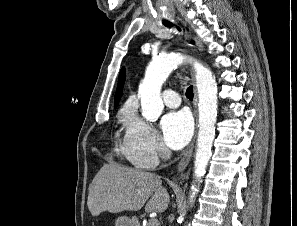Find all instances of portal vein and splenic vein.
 Returning <instances> with one entry per match:
<instances>
[{"instance_id": "1", "label": "portal vein and splenic vein", "mask_w": 297, "mask_h": 226, "mask_svg": "<svg viewBox=\"0 0 297 226\" xmlns=\"http://www.w3.org/2000/svg\"><path fill=\"white\" fill-rule=\"evenodd\" d=\"M158 223L157 219H151L149 220L148 224H151L152 226H155Z\"/></svg>"}]
</instances>
